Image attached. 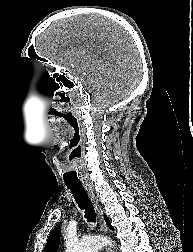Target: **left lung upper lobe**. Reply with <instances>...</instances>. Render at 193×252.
Returning a JSON list of instances; mask_svg holds the SVG:
<instances>
[{"label": "left lung upper lobe", "mask_w": 193, "mask_h": 252, "mask_svg": "<svg viewBox=\"0 0 193 252\" xmlns=\"http://www.w3.org/2000/svg\"><path fill=\"white\" fill-rule=\"evenodd\" d=\"M105 221L107 222L109 228L113 230V227L111 226L109 219L107 217H105ZM59 237H60V228H54L48 237L47 244L45 245L44 248V252H57Z\"/></svg>", "instance_id": "5c2ea615"}]
</instances>
